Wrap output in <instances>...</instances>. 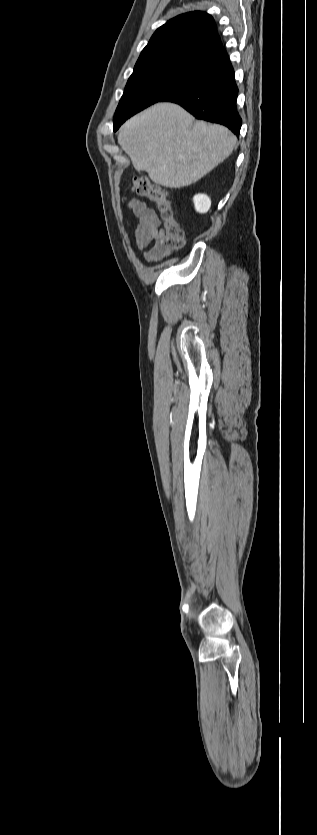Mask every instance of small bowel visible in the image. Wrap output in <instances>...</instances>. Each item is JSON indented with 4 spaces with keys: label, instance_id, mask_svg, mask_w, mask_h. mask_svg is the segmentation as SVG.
<instances>
[{
    "label": "small bowel",
    "instance_id": "small-bowel-1",
    "mask_svg": "<svg viewBox=\"0 0 317 835\" xmlns=\"http://www.w3.org/2000/svg\"><path fill=\"white\" fill-rule=\"evenodd\" d=\"M128 207L139 220L135 228L137 245L139 248L144 249L153 244L151 249L145 252L146 259L149 261L161 259L164 255L157 251V247L163 236V229L160 228L161 221L155 210L136 198L130 199Z\"/></svg>",
    "mask_w": 317,
    "mask_h": 835
}]
</instances>
